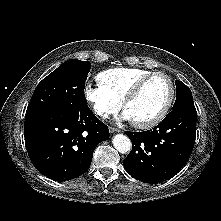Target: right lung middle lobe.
I'll return each instance as SVG.
<instances>
[{
    "label": "right lung middle lobe",
    "mask_w": 221,
    "mask_h": 221,
    "mask_svg": "<svg viewBox=\"0 0 221 221\" xmlns=\"http://www.w3.org/2000/svg\"><path fill=\"white\" fill-rule=\"evenodd\" d=\"M90 68L88 61H65L37 85L26 113L43 110L75 113L88 109L84 87Z\"/></svg>",
    "instance_id": "obj_1"
}]
</instances>
